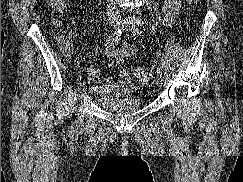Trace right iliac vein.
I'll return each instance as SVG.
<instances>
[{"label": "right iliac vein", "mask_w": 243, "mask_h": 182, "mask_svg": "<svg viewBox=\"0 0 243 182\" xmlns=\"http://www.w3.org/2000/svg\"><path fill=\"white\" fill-rule=\"evenodd\" d=\"M111 26H115V24H113V22L110 24ZM79 87H80V89H81V92L83 93V94H85L86 93V86H85V83L84 82H82V83H80L79 84Z\"/></svg>", "instance_id": "63e3f726"}]
</instances>
